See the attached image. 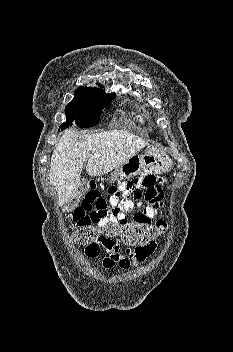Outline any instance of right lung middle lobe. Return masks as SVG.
<instances>
[{
  "label": "right lung middle lobe",
  "instance_id": "obj_1",
  "mask_svg": "<svg viewBox=\"0 0 233 352\" xmlns=\"http://www.w3.org/2000/svg\"><path fill=\"white\" fill-rule=\"evenodd\" d=\"M74 99L65 107L66 122L61 129L71 125L89 128L99 123L102 110L109 105L115 94H106L97 88H84L74 94Z\"/></svg>",
  "mask_w": 233,
  "mask_h": 352
}]
</instances>
